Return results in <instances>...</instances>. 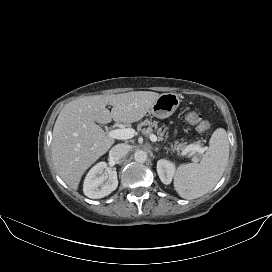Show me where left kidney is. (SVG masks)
Here are the masks:
<instances>
[{
  "mask_svg": "<svg viewBox=\"0 0 272 272\" xmlns=\"http://www.w3.org/2000/svg\"><path fill=\"white\" fill-rule=\"evenodd\" d=\"M157 173L162 183L166 185L170 184L175 175L174 163L165 159H160L157 162Z\"/></svg>",
  "mask_w": 272,
  "mask_h": 272,
  "instance_id": "left-kidney-1",
  "label": "left kidney"
}]
</instances>
